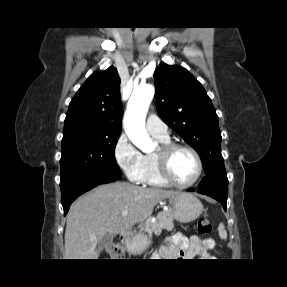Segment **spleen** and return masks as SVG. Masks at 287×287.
<instances>
[{
    "instance_id": "1",
    "label": "spleen",
    "mask_w": 287,
    "mask_h": 287,
    "mask_svg": "<svg viewBox=\"0 0 287 287\" xmlns=\"http://www.w3.org/2000/svg\"><path fill=\"white\" fill-rule=\"evenodd\" d=\"M218 232H219V236L221 237V239H223V240L227 239V232L225 230V226L223 223L219 224Z\"/></svg>"
}]
</instances>
